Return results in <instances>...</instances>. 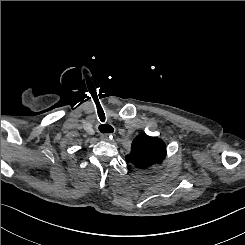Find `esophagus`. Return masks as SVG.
<instances>
[{
    "instance_id": "34e87169",
    "label": "esophagus",
    "mask_w": 245,
    "mask_h": 245,
    "mask_svg": "<svg viewBox=\"0 0 245 245\" xmlns=\"http://www.w3.org/2000/svg\"><path fill=\"white\" fill-rule=\"evenodd\" d=\"M111 135L108 134H102L101 135V140L103 141H108L110 139Z\"/></svg>"
}]
</instances>
